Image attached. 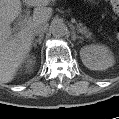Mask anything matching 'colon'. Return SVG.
<instances>
[{
	"mask_svg": "<svg viewBox=\"0 0 119 119\" xmlns=\"http://www.w3.org/2000/svg\"><path fill=\"white\" fill-rule=\"evenodd\" d=\"M110 5L113 9V11L118 14L119 13V2L117 0H111Z\"/></svg>",
	"mask_w": 119,
	"mask_h": 119,
	"instance_id": "obj_1",
	"label": "colon"
}]
</instances>
